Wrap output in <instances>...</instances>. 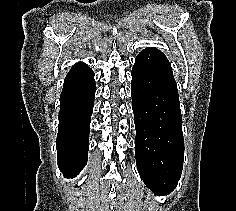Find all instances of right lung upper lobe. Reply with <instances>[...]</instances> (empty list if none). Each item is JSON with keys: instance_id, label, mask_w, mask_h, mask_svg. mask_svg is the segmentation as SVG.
Segmentation results:
<instances>
[{"instance_id": "obj_1", "label": "right lung upper lobe", "mask_w": 236, "mask_h": 211, "mask_svg": "<svg viewBox=\"0 0 236 211\" xmlns=\"http://www.w3.org/2000/svg\"><path fill=\"white\" fill-rule=\"evenodd\" d=\"M85 68H88V66L85 63L79 62L71 68L70 72L85 69Z\"/></svg>"}]
</instances>
